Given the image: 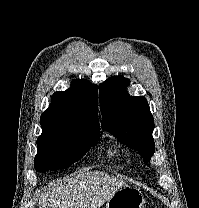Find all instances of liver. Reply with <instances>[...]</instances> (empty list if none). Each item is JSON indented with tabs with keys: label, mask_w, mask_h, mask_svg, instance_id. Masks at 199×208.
<instances>
[{
	"label": "liver",
	"mask_w": 199,
	"mask_h": 208,
	"mask_svg": "<svg viewBox=\"0 0 199 208\" xmlns=\"http://www.w3.org/2000/svg\"><path fill=\"white\" fill-rule=\"evenodd\" d=\"M125 181L102 171L80 172L45 187L39 195V208H100Z\"/></svg>",
	"instance_id": "6515ba94"
}]
</instances>
